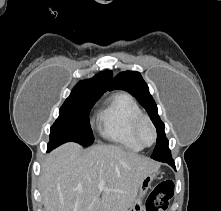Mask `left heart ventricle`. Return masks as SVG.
Segmentation results:
<instances>
[{
  "label": "left heart ventricle",
  "mask_w": 221,
  "mask_h": 211,
  "mask_svg": "<svg viewBox=\"0 0 221 211\" xmlns=\"http://www.w3.org/2000/svg\"><path fill=\"white\" fill-rule=\"evenodd\" d=\"M142 138L147 144H150L153 141V132L148 125H144L142 128Z\"/></svg>",
  "instance_id": "1"
}]
</instances>
